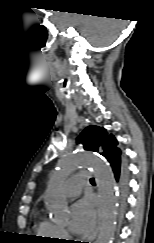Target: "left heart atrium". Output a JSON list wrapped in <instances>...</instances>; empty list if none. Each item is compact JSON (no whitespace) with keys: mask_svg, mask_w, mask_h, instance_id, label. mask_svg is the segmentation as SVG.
Masks as SVG:
<instances>
[{"mask_svg":"<svg viewBox=\"0 0 154 243\" xmlns=\"http://www.w3.org/2000/svg\"><path fill=\"white\" fill-rule=\"evenodd\" d=\"M96 224V212L93 201L86 197L79 200L72 209L70 229L78 235H87Z\"/></svg>","mask_w":154,"mask_h":243,"instance_id":"1","label":"left heart atrium"}]
</instances>
